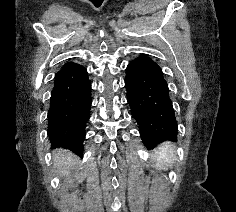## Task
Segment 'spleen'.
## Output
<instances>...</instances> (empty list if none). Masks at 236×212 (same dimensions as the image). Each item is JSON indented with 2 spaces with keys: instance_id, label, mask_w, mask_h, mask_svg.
I'll return each instance as SVG.
<instances>
[{
  "instance_id": "obj_1",
  "label": "spleen",
  "mask_w": 236,
  "mask_h": 212,
  "mask_svg": "<svg viewBox=\"0 0 236 212\" xmlns=\"http://www.w3.org/2000/svg\"><path fill=\"white\" fill-rule=\"evenodd\" d=\"M155 153L158 161L156 164L157 168L162 169V166L172 167L175 161V151L173 145L164 143L156 149Z\"/></svg>"
}]
</instances>
